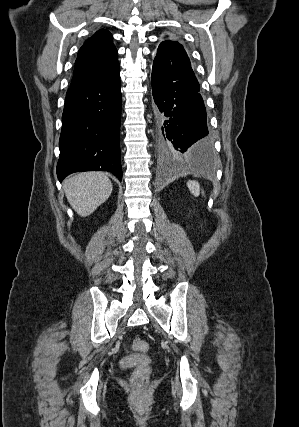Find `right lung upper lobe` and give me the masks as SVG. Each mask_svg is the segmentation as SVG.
Returning <instances> with one entry per match:
<instances>
[{
  "mask_svg": "<svg viewBox=\"0 0 299 427\" xmlns=\"http://www.w3.org/2000/svg\"><path fill=\"white\" fill-rule=\"evenodd\" d=\"M112 39L109 31L101 29L82 45L70 87L106 79L119 70L118 52Z\"/></svg>",
  "mask_w": 299,
  "mask_h": 427,
  "instance_id": "cb5924a9",
  "label": "right lung upper lobe"
}]
</instances>
